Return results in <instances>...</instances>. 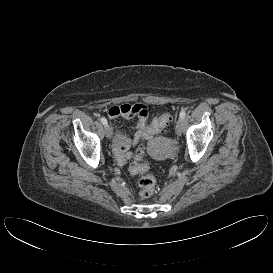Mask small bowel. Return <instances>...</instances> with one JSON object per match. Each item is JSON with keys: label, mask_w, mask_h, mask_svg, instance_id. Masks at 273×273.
I'll return each instance as SVG.
<instances>
[{"label": "small bowel", "mask_w": 273, "mask_h": 273, "mask_svg": "<svg viewBox=\"0 0 273 273\" xmlns=\"http://www.w3.org/2000/svg\"><path fill=\"white\" fill-rule=\"evenodd\" d=\"M148 107L144 104H122L111 106L108 109V116L111 119L136 118L137 123L134 127V134L132 137L120 131H116L113 138V153L115 159L119 164H124L130 158L131 154L128 152L132 145L138 144L144 138V128L148 118Z\"/></svg>", "instance_id": "1"}]
</instances>
